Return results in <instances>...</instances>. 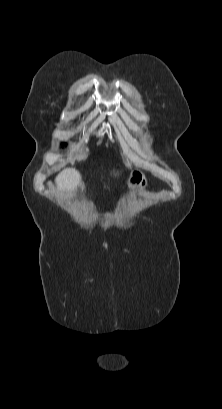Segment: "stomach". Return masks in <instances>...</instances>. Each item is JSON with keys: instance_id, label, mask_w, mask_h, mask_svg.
I'll return each mask as SVG.
<instances>
[{"instance_id": "0dacf381", "label": "stomach", "mask_w": 222, "mask_h": 409, "mask_svg": "<svg viewBox=\"0 0 222 409\" xmlns=\"http://www.w3.org/2000/svg\"><path fill=\"white\" fill-rule=\"evenodd\" d=\"M127 184L131 195L135 196L141 194L146 189L148 181L142 171L135 169L130 173Z\"/></svg>"}]
</instances>
